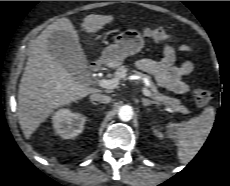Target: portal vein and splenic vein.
<instances>
[{
	"instance_id": "obj_1",
	"label": "portal vein and splenic vein",
	"mask_w": 230,
	"mask_h": 186,
	"mask_svg": "<svg viewBox=\"0 0 230 186\" xmlns=\"http://www.w3.org/2000/svg\"><path fill=\"white\" fill-rule=\"evenodd\" d=\"M119 84V80L114 78V79H101L98 81V85L102 88H106V89H114L118 86ZM143 94L147 97H151V92L146 89V88H142Z\"/></svg>"
}]
</instances>
